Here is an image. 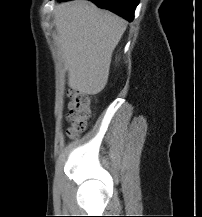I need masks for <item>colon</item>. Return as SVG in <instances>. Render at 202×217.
<instances>
[{"instance_id":"colon-1","label":"colon","mask_w":202,"mask_h":217,"mask_svg":"<svg viewBox=\"0 0 202 217\" xmlns=\"http://www.w3.org/2000/svg\"><path fill=\"white\" fill-rule=\"evenodd\" d=\"M69 97L67 118L70 126L67 134L76 137L86 129L92 118V98L89 94L79 91L69 92Z\"/></svg>"}]
</instances>
